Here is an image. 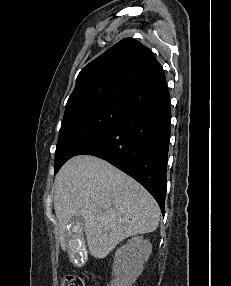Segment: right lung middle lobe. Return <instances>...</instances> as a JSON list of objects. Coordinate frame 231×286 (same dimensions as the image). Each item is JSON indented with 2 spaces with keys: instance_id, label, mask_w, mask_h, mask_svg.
<instances>
[{
  "instance_id": "right-lung-middle-lobe-1",
  "label": "right lung middle lobe",
  "mask_w": 231,
  "mask_h": 286,
  "mask_svg": "<svg viewBox=\"0 0 231 286\" xmlns=\"http://www.w3.org/2000/svg\"><path fill=\"white\" fill-rule=\"evenodd\" d=\"M130 112L118 101H102L64 115L55 152V173L61 166Z\"/></svg>"
}]
</instances>
